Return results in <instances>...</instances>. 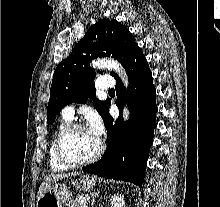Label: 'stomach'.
<instances>
[{"label":"stomach","instance_id":"1","mask_svg":"<svg viewBox=\"0 0 220 207\" xmlns=\"http://www.w3.org/2000/svg\"><path fill=\"white\" fill-rule=\"evenodd\" d=\"M75 186L84 190H92L95 186V179L90 176H81ZM70 199V192L67 186L60 182H55L38 199L36 207H64V203Z\"/></svg>","mask_w":220,"mask_h":207}]
</instances>
